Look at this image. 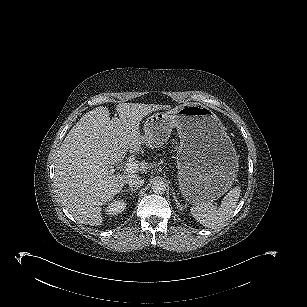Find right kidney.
I'll list each match as a JSON object with an SVG mask.
<instances>
[{
  "instance_id": "ca27d5eb",
  "label": "right kidney",
  "mask_w": 307,
  "mask_h": 307,
  "mask_svg": "<svg viewBox=\"0 0 307 307\" xmlns=\"http://www.w3.org/2000/svg\"><path fill=\"white\" fill-rule=\"evenodd\" d=\"M126 203L122 200H114L105 209L107 215L115 216L122 213L126 208Z\"/></svg>"
}]
</instances>
